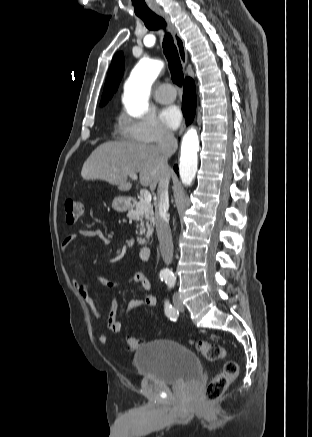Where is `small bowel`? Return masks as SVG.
<instances>
[{
  "label": "small bowel",
  "mask_w": 312,
  "mask_h": 437,
  "mask_svg": "<svg viewBox=\"0 0 312 437\" xmlns=\"http://www.w3.org/2000/svg\"><path fill=\"white\" fill-rule=\"evenodd\" d=\"M84 237H98L100 238L104 243H108L109 239L105 237L101 231L99 230H77L69 235H67L63 242H62V250L63 252H66L71 243L79 238ZM96 281L103 287L106 288H113L121 283L119 281L109 280V279H96ZM130 282L134 283L135 285L141 287V289L144 292V297L142 299H132L130 300L126 305V312L130 313L131 311L135 309H139L142 307H149L153 306L156 303V296L152 290V285L145 274L143 273H135L131 276L129 279ZM77 292L81 296V298L86 302V304L89 306L92 314L95 318L100 319L101 318V312L94 300V298L91 296L89 291V285L86 282H80L76 285ZM117 310H118V304L115 299H112L110 302V310L108 313V317L106 320V326L110 333L118 334L122 330L121 322L118 320L117 317ZM99 340L101 343L106 344L108 339L105 334H101L99 336Z\"/></svg>",
  "instance_id": "obj_1"
}]
</instances>
